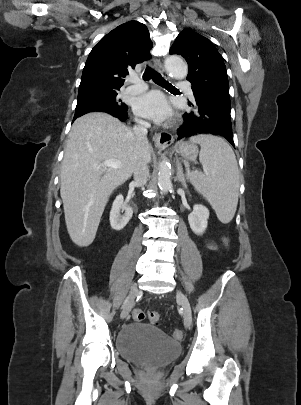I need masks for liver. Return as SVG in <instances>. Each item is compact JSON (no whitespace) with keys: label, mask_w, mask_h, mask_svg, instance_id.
Listing matches in <instances>:
<instances>
[{"label":"liver","mask_w":301,"mask_h":405,"mask_svg":"<svg viewBox=\"0 0 301 405\" xmlns=\"http://www.w3.org/2000/svg\"><path fill=\"white\" fill-rule=\"evenodd\" d=\"M149 142H138L133 131L106 113L94 112L75 120L65 147L60 194L72 241L90 245L112 192L133 174L136 162L151 160ZM117 160L120 168L103 167Z\"/></svg>","instance_id":"obj_1"}]
</instances>
